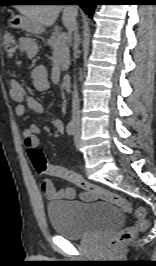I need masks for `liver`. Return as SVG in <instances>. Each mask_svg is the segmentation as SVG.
Wrapping results in <instances>:
<instances>
[{"label":"liver","mask_w":156,"mask_h":266,"mask_svg":"<svg viewBox=\"0 0 156 266\" xmlns=\"http://www.w3.org/2000/svg\"><path fill=\"white\" fill-rule=\"evenodd\" d=\"M18 10L42 28L52 26L61 11L63 24L68 30L76 19L72 5H21Z\"/></svg>","instance_id":"1"}]
</instances>
